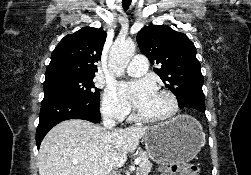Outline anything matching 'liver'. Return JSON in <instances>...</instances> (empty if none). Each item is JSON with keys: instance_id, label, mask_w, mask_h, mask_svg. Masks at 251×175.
Wrapping results in <instances>:
<instances>
[{"instance_id": "liver-1", "label": "liver", "mask_w": 251, "mask_h": 175, "mask_svg": "<svg viewBox=\"0 0 251 175\" xmlns=\"http://www.w3.org/2000/svg\"><path fill=\"white\" fill-rule=\"evenodd\" d=\"M148 127L110 131L86 119H66L52 127L39 149V175H107L122 167Z\"/></svg>"}]
</instances>
